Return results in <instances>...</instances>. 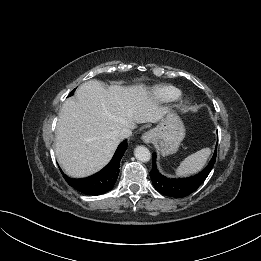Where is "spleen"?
<instances>
[{
	"mask_svg": "<svg viewBox=\"0 0 261 261\" xmlns=\"http://www.w3.org/2000/svg\"><path fill=\"white\" fill-rule=\"evenodd\" d=\"M211 154L210 148H203L186 157L176 170V175L186 176L200 171Z\"/></svg>",
	"mask_w": 261,
	"mask_h": 261,
	"instance_id": "obj_1",
	"label": "spleen"
}]
</instances>
